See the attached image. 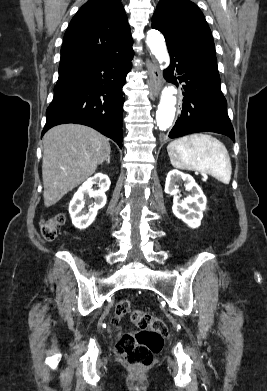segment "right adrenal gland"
<instances>
[{
  "instance_id": "obj_1",
  "label": "right adrenal gland",
  "mask_w": 267,
  "mask_h": 391,
  "mask_svg": "<svg viewBox=\"0 0 267 391\" xmlns=\"http://www.w3.org/2000/svg\"><path fill=\"white\" fill-rule=\"evenodd\" d=\"M106 161H107L108 164H110V158H108Z\"/></svg>"
}]
</instances>
